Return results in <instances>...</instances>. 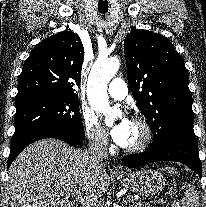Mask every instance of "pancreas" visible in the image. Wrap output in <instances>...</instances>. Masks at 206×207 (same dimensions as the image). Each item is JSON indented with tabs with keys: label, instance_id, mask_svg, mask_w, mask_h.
<instances>
[{
	"label": "pancreas",
	"instance_id": "cf45deb5",
	"mask_svg": "<svg viewBox=\"0 0 206 207\" xmlns=\"http://www.w3.org/2000/svg\"><path fill=\"white\" fill-rule=\"evenodd\" d=\"M134 207H152L148 202H136Z\"/></svg>",
	"mask_w": 206,
	"mask_h": 207
}]
</instances>
